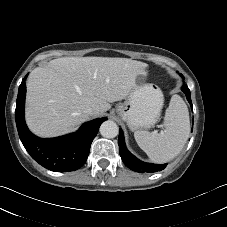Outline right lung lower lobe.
<instances>
[{
  "instance_id": "98d812e1",
  "label": "right lung lower lobe",
  "mask_w": 227,
  "mask_h": 227,
  "mask_svg": "<svg viewBox=\"0 0 227 227\" xmlns=\"http://www.w3.org/2000/svg\"><path fill=\"white\" fill-rule=\"evenodd\" d=\"M26 85L19 86L15 120L20 140L30 154L44 168L55 172L79 169L87 160L90 146L99 127L107 118L95 119L83 124L80 129L65 136L41 139L32 134L24 119Z\"/></svg>"
}]
</instances>
